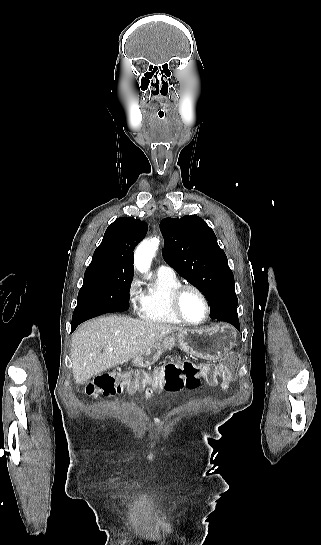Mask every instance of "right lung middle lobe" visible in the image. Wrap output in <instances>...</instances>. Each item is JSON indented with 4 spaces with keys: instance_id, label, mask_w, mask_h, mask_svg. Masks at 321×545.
<instances>
[{
    "instance_id": "right-lung-middle-lobe-1",
    "label": "right lung middle lobe",
    "mask_w": 321,
    "mask_h": 545,
    "mask_svg": "<svg viewBox=\"0 0 321 545\" xmlns=\"http://www.w3.org/2000/svg\"><path fill=\"white\" fill-rule=\"evenodd\" d=\"M132 279L133 274H113L104 270L86 271L72 320L108 313L111 303L129 295Z\"/></svg>"
}]
</instances>
